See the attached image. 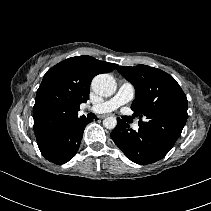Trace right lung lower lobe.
Wrapping results in <instances>:
<instances>
[{"label":"right lung lower lobe","instance_id":"right-lung-lower-lobe-1","mask_svg":"<svg viewBox=\"0 0 211 211\" xmlns=\"http://www.w3.org/2000/svg\"><path fill=\"white\" fill-rule=\"evenodd\" d=\"M89 122L90 120L82 116L37 139L42 155L58 165L71 160L79 148L84 128Z\"/></svg>","mask_w":211,"mask_h":211}]
</instances>
